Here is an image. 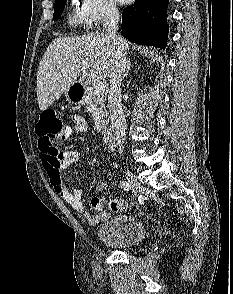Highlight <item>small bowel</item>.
Returning <instances> with one entry per match:
<instances>
[{
    "mask_svg": "<svg viewBox=\"0 0 233 294\" xmlns=\"http://www.w3.org/2000/svg\"><path fill=\"white\" fill-rule=\"evenodd\" d=\"M73 126H65L62 133V140L69 139L74 133H83L88 129L86 120L80 115H72ZM79 153L74 151V149H61L58 151L57 156H49L41 151V161L43 169L45 170L48 180L55 190L63 200L71 206V208L83 217L90 225H96L100 221L108 218V213L103 209L106 200L102 196L93 197L90 201V205L95 213H90L86 211L85 206L82 201L83 192L80 189H68L61 179V170L69 167L70 165L78 162ZM107 187L106 182L99 181L95 190L97 192L104 191ZM123 204L125 203L116 199Z\"/></svg>",
    "mask_w": 233,
    "mask_h": 294,
    "instance_id": "small-bowel-1",
    "label": "small bowel"
}]
</instances>
